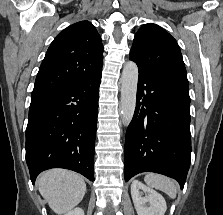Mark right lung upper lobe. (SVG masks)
<instances>
[{
	"label": "right lung upper lobe",
	"instance_id": "cb5924a9",
	"mask_svg": "<svg viewBox=\"0 0 223 215\" xmlns=\"http://www.w3.org/2000/svg\"><path fill=\"white\" fill-rule=\"evenodd\" d=\"M103 45L92 23L80 21L61 31L47 50L32 98L61 91L98 74Z\"/></svg>",
	"mask_w": 223,
	"mask_h": 215
}]
</instances>
